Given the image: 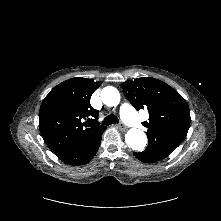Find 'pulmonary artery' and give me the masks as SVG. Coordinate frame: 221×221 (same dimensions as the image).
Instances as JSON below:
<instances>
[{"label": "pulmonary artery", "mask_w": 221, "mask_h": 221, "mask_svg": "<svg viewBox=\"0 0 221 221\" xmlns=\"http://www.w3.org/2000/svg\"><path fill=\"white\" fill-rule=\"evenodd\" d=\"M120 112L123 120L127 124L135 127H141L143 125V120L136 114L129 104L123 103L120 107Z\"/></svg>", "instance_id": "1"}]
</instances>
